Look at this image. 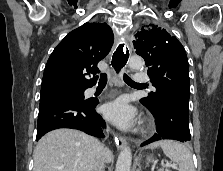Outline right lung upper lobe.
<instances>
[{
	"mask_svg": "<svg viewBox=\"0 0 223 171\" xmlns=\"http://www.w3.org/2000/svg\"><path fill=\"white\" fill-rule=\"evenodd\" d=\"M114 41L106 23H85L71 31L50 55L43 75L41 97L85 91L92 87L99 72L97 63L109 53Z\"/></svg>",
	"mask_w": 223,
	"mask_h": 171,
	"instance_id": "right-lung-upper-lobe-1",
	"label": "right lung upper lobe"
}]
</instances>
